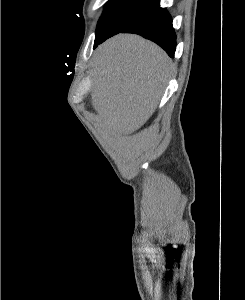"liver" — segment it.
Segmentation results:
<instances>
[{
  "label": "liver",
  "mask_w": 245,
  "mask_h": 300,
  "mask_svg": "<svg viewBox=\"0 0 245 300\" xmlns=\"http://www.w3.org/2000/svg\"><path fill=\"white\" fill-rule=\"evenodd\" d=\"M173 69L156 44L138 35L118 34L99 46L91 100L107 131L130 134L154 113Z\"/></svg>",
  "instance_id": "obj_1"
}]
</instances>
